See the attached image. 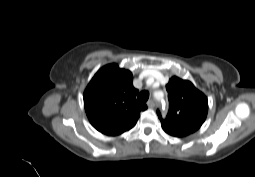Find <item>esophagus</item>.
Returning <instances> with one entry per match:
<instances>
[{"label":"esophagus","instance_id":"34e87169","mask_svg":"<svg viewBox=\"0 0 255 177\" xmlns=\"http://www.w3.org/2000/svg\"><path fill=\"white\" fill-rule=\"evenodd\" d=\"M147 105L149 108H154L156 106V102L154 100H149Z\"/></svg>","mask_w":255,"mask_h":177}]
</instances>
